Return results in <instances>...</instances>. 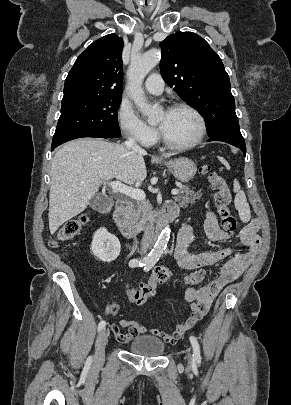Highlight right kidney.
<instances>
[{
	"label": "right kidney",
	"instance_id": "1",
	"mask_svg": "<svg viewBox=\"0 0 291 405\" xmlns=\"http://www.w3.org/2000/svg\"><path fill=\"white\" fill-rule=\"evenodd\" d=\"M91 250L96 258L110 263L119 256L121 245L116 236L109 234L105 228H100L94 233Z\"/></svg>",
	"mask_w": 291,
	"mask_h": 405
}]
</instances>
